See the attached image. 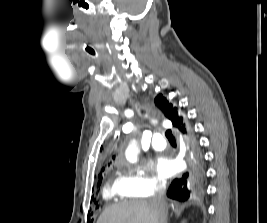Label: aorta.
<instances>
[{"label":"aorta","mask_w":267,"mask_h":223,"mask_svg":"<svg viewBox=\"0 0 267 223\" xmlns=\"http://www.w3.org/2000/svg\"><path fill=\"white\" fill-rule=\"evenodd\" d=\"M137 153L138 149L136 145L134 143H131L126 149L125 156L128 161L134 163L137 161Z\"/></svg>","instance_id":"1"}]
</instances>
